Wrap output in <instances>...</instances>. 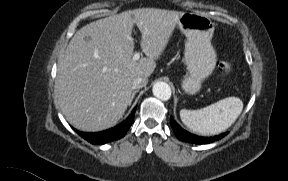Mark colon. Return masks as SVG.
<instances>
[{"mask_svg":"<svg viewBox=\"0 0 288 181\" xmlns=\"http://www.w3.org/2000/svg\"><path fill=\"white\" fill-rule=\"evenodd\" d=\"M219 67L222 71V76L225 77L227 76L231 70H232V65L229 61H222L219 63Z\"/></svg>","mask_w":288,"mask_h":181,"instance_id":"obj_1","label":"colon"}]
</instances>
